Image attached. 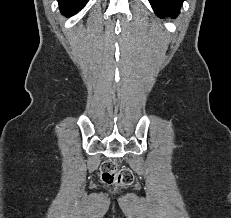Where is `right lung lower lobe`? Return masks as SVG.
Segmentation results:
<instances>
[{
	"instance_id": "right-lung-lower-lobe-1",
	"label": "right lung lower lobe",
	"mask_w": 231,
	"mask_h": 218,
	"mask_svg": "<svg viewBox=\"0 0 231 218\" xmlns=\"http://www.w3.org/2000/svg\"><path fill=\"white\" fill-rule=\"evenodd\" d=\"M89 0H58L62 14L72 16L81 10Z\"/></svg>"
}]
</instances>
